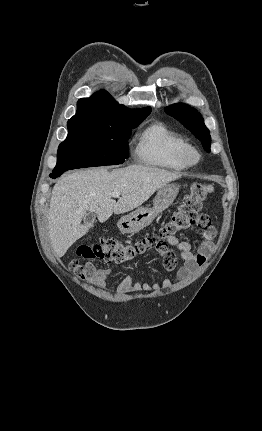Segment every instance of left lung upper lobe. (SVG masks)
<instances>
[{"label": "left lung upper lobe", "mask_w": 262, "mask_h": 431, "mask_svg": "<svg viewBox=\"0 0 262 431\" xmlns=\"http://www.w3.org/2000/svg\"><path fill=\"white\" fill-rule=\"evenodd\" d=\"M165 111L189 129L202 142L204 149L210 152V132L196 109L187 104L178 103L166 107Z\"/></svg>", "instance_id": "5c2ea615"}]
</instances>
